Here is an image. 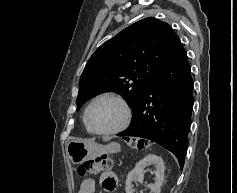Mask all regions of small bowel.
<instances>
[{"label":"small bowel","mask_w":237,"mask_h":193,"mask_svg":"<svg viewBox=\"0 0 237 193\" xmlns=\"http://www.w3.org/2000/svg\"><path fill=\"white\" fill-rule=\"evenodd\" d=\"M101 182L104 190L108 193H114L116 189L117 177L114 172L105 171L101 174ZM78 193H95V182L92 179L84 180Z\"/></svg>","instance_id":"small-bowel-1"}]
</instances>
